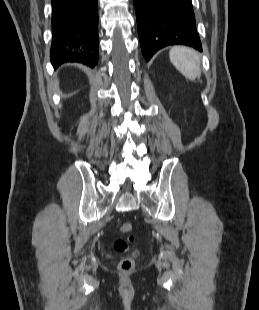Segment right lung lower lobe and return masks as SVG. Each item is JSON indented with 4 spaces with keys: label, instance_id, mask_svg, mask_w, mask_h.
<instances>
[{
    "label": "right lung lower lobe",
    "instance_id": "1",
    "mask_svg": "<svg viewBox=\"0 0 259 310\" xmlns=\"http://www.w3.org/2000/svg\"><path fill=\"white\" fill-rule=\"evenodd\" d=\"M52 43L54 67L79 62L94 67L98 59L97 0H52Z\"/></svg>",
    "mask_w": 259,
    "mask_h": 310
}]
</instances>
